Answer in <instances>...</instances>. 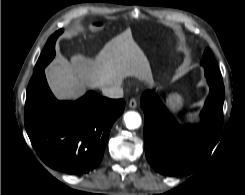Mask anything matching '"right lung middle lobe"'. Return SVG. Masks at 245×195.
<instances>
[{"label": "right lung middle lobe", "instance_id": "obj_1", "mask_svg": "<svg viewBox=\"0 0 245 195\" xmlns=\"http://www.w3.org/2000/svg\"><path fill=\"white\" fill-rule=\"evenodd\" d=\"M61 33H62V31H59L48 39V41L45 45V48L42 51L36 65H35L33 74L40 72L41 70H44V68L53 59V57L55 55V41H56V38Z\"/></svg>", "mask_w": 245, "mask_h": 195}]
</instances>
